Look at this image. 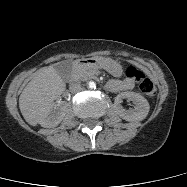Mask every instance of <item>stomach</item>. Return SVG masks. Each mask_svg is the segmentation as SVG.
<instances>
[{"mask_svg": "<svg viewBox=\"0 0 187 187\" xmlns=\"http://www.w3.org/2000/svg\"><path fill=\"white\" fill-rule=\"evenodd\" d=\"M98 68L106 70L108 73L115 77L122 75V66L119 62L111 58L94 57L90 60Z\"/></svg>", "mask_w": 187, "mask_h": 187, "instance_id": "stomach-1", "label": "stomach"}]
</instances>
